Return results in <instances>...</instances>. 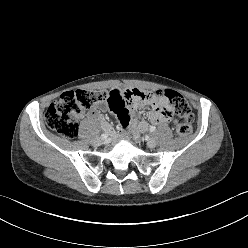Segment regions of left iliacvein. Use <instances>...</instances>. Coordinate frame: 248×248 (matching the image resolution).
I'll use <instances>...</instances> for the list:
<instances>
[{"label": "left iliac vein", "mask_w": 248, "mask_h": 248, "mask_svg": "<svg viewBox=\"0 0 248 248\" xmlns=\"http://www.w3.org/2000/svg\"><path fill=\"white\" fill-rule=\"evenodd\" d=\"M156 145H157V142L153 137H151L147 140V146L149 148H154Z\"/></svg>", "instance_id": "left-iliac-vein-1"}]
</instances>
